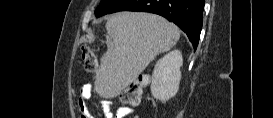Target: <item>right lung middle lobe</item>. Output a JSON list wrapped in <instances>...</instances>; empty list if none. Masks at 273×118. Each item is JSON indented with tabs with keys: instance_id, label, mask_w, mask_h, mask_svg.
<instances>
[{
	"instance_id": "dd1d6c3e",
	"label": "right lung middle lobe",
	"mask_w": 273,
	"mask_h": 118,
	"mask_svg": "<svg viewBox=\"0 0 273 118\" xmlns=\"http://www.w3.org/2000/svg\"><path fill=\"white\" fill-rule=\"evenodd\" d=\"M124 0H101L99 6L95 10L97 17L110 14L116 7H118Z\"/></svg>"
}]
</instances>
